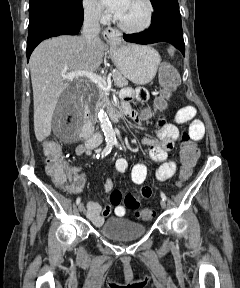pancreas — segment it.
<instances>
[{
	"mask_svg": "<svg viewBox=\"0 0 240 288\" xmlns=\"http://www.w3.org/2000/svg\"><path fill=\"white\" fill-rule=\"evenodd\" d=\"M113 81L117 87H124L128 85V81L119 71H112L111 72ZM89 89L94 93L98 94V99L102 105H109V93L107 90L100 88L98 85L90 83L88 85ZM87 105L90 106V101L87 102Z\"/></svg>",
	"mask_w": 240,
	"mask_h": 288,
	"instance_id": "cf45deb5",
	"label": "pancreas"
}]
</instances>
